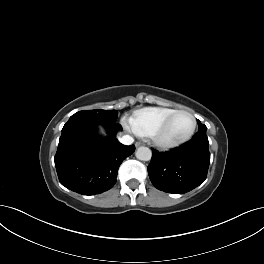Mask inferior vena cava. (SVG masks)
<instances>
[{"instance_id":"602c4592","label":"inferior vena cava","mask_w":264,"mask_h":264,"mask_svg":"<svg viewBox=\"0 0 264 264\" xmlns=\"http://www.w3.org/2000/svg\"><path fill=\"white\" fill-rule=\"evenodd\" d=\"M120 142L124 145H131L134 142V139L129 135H124L120 138Z\"/></svg>"}]
</instances>
